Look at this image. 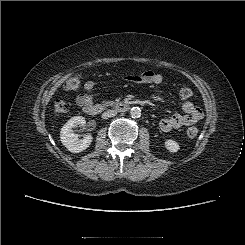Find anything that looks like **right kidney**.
I'll list each match as a JSON object with an SVG mask.
<instances>
[{"mask_svg": "<svg viewBox=\"0 0 245 245\" xmlns=\"http://www.w3.org/2000/svg\"><path fill=\"white\" fill-rule=\"evenodd\" d=\"M85 124L86 121L84 117L74 116L61 128V142L72 153H79L86 150L93 140L91 135H86L82 139H79L78 135L73 132V128L78 125L84 126Z\"/></svg>", "mask_w": 245, "mask_h": 245, "instance_id": "obj_1", "label": "right kidney"}]
</instances>
